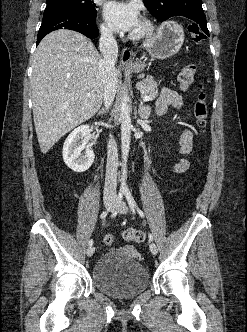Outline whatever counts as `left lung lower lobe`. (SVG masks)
<instances>
[{"label": "left lung lower lobe", "mask_w": 247, "mask_h": 332, "mask_svg": "<svg viewBox=\"0 0 247 332\" xmlns=\"http://www.w3.org/2000/svg\"><path fill=\"white\" fill-rule=\"evenodd\" d=\"M179 17H184L192 22H194L193 24H195L197 26V28H199L200 30L203 31V38H206L207 36H209V31L207 28V24H206V17H201V16H190V15H179Z\"/></svg>", "instance_id": "obj_1"}]
</instances>
